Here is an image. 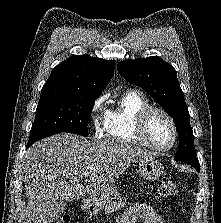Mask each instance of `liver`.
Segmentation results:
<instances>
[{
  "mask_svg": "<svg viewBox=\"0 0 221 223\" xmlns=\"http://www.w3.org/2000/svg\"><path fill=\"white\" fill-rule=\"evenodd\" d=\"M152 155L122 140H87L68 133L36 142L22 161L28 199L22 223H53L64 202L105 190L132 162ZM84 178H89L86 186Z\"/></svg>",
  "mask_w": 221,
  "mask_h": 223,
  "instance_id": "obj_1",
  "label": "liver"
}]
</instances>
